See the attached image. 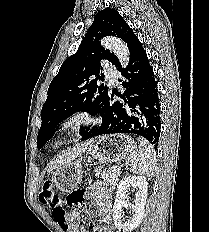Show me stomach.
Masks as SVG:
<instances>
[{"instance_id":"0dacf381","label":"stomach","mask_w":209,"mask_h":232,"mask_svg":"<svg viewBox=\"0 0 209 232\" xmlns=\"http://www.w3.org/2000/svg\"><path fill=\"white\" fill-rule=\"evenodd\" d=\"M135 148L133 139L128 135H105L100 137L94 145L89 147L88 153L92 159L104 163H112L128 158ZM80 158L57 168L52 180L62 192L74 190L82 179V165Z\"/></svg>"}]
</instances>
